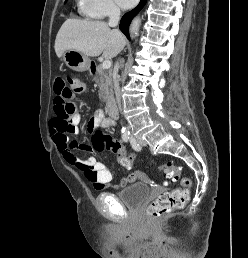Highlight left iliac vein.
<instances>
[{
  "mask_svg": "<svg viewBox=\"0 0 248 258\" xmlns=\"http://www.w3.org/2000/svg\"><path fill=\"white\" fill-rule=\"evenodd\" d=\"M138 144L140 145V146H145L146 145V142H145V140L144 139H142L141 137H138Z\"/></svg>",
  "mask_w": 248,
  "mask_h": 258,
  "instance_id": "4c4485c4",
  "label": "left iliac vein"
}]
</instances>
